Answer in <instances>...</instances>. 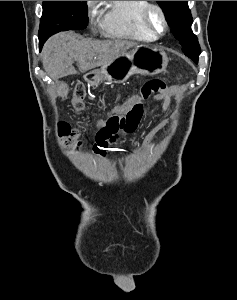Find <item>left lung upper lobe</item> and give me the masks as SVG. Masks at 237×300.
Segmentation results:
<instances>
[{"label": "left lung upper lobe", "instance_id": "left-lung-upper-lobe-1", "mask_svg": "<svg viewBox=\"0 0 237 300\" xmlns=\"http://www.w3.org/2000/svg\"><path fill=\"white\" fill-rule=\"evenodd\" d=\"M163 9L172 33L183 47V52L196 63L200 55L197 37L191 30L192 16L188 1H157Z\"/></svg>", "mask_w": 237, "mask_h": 300}]
</instances>
